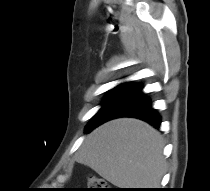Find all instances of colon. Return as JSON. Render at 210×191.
Returning a JSON list of instances; mask_svg holds the SVG:
<instances>
[{
    "label": "colon",
    "mask_w": 210,
    "mask_h": 191,
    "mask_svg": "<svg viewBox=\"0 0 210 191\" xmlns=\"http://www.w3.org/2000/svg\"><path fill=\"white\" fill-rule=\"evenodd\" d=\"M84 191H113L100 177L91 175L88 177L87 188Z\"/></svg>",
    "instance_id": "1"
}]
</instances>
